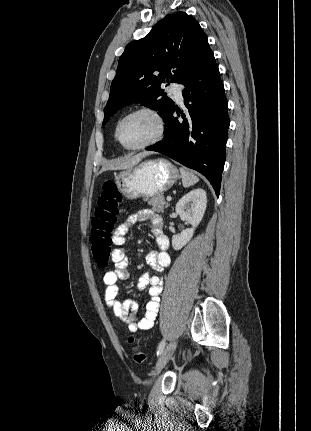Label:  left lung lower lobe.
Wrapping results in <instances>:
<instances>
[{"instance_id": "obj_1", "label": "left lung lower lobe", "mask_w": 311, "mask_h": 431, "mask_svg": "<svg viewBox=\"0 0 311 431\" xmlns=\"http://www.w3.org/2000/svg\"><path fill=\"white\" fill-rule=\"evenodd\" d=\"M186 109L175 106L164 123V139L146 150L160 152L202 173L219 196L230 125L228 103L211 49L206 50L181 80Z\"/></svg>"}]
</instances>
